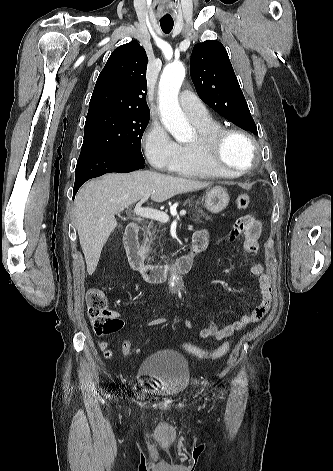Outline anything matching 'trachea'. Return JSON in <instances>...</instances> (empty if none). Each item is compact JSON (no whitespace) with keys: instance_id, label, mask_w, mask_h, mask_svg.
<instances>
[{"instance_id":"obj_1","label":"trachea","mask_w":333,"mask_h":471,"mask_svg":"<svg viewBox=\"0 0 333 471\" xmlns=\"http://www.w3.org/2000/svg\"><path fill=\"white\" fill-rule=\"evenodd\" d=\"M161 29L163 30L164 33L168 34L171 32L173 29L174 21L171 20H161L160 21Z\"/></svg>"}]
</instances>
